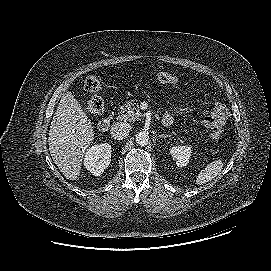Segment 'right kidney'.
Wrapping results in <instances>:
<instances>
[{
	"label": "right kidney",
	"instance_id": "right-kidney-1",
	"mask_svg": "<svg viewBox=\"0 0 271 271\" xmlns=\"http://www.w3.org/2000/svg\"><path fill=\"white\" fill-rule=\"evenodd\" d=\"M111 149L108 143L92 146L84 156L85 168L94 176H100L111 162Z\"/></svg>",
	"mask_w": 271,
	"mask_h": 271
}]
</instances>
